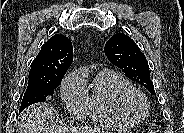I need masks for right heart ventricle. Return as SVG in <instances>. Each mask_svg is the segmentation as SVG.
<instances>
[{"instance_id": "1", "label": "right heart ventricle", "mask_w": 184, "mask_h": 133, "mask_svg": "<svg viewBox=\"0 0 184 133\" xmlns=\"http://www.w3.org/2000/svg\"><path fill=\"white\" fill-rule=\"evenodd\" d=\"M82 74L85 77V73ZM131 87V83L121 74L107 68L99 70L95 74L90 93H88L86 114L94 122L102 125L116 127L132 125L134 122L125 118L117 106L119 93Z\"/></svg>"}]
</instances>
